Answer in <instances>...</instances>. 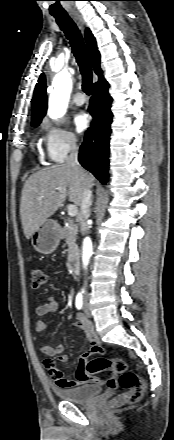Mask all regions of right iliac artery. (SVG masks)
I'll use <instances>...</instances> for the list:
<instances>
[{
  "mask_svg": "<svg viewBox=\"0 0 174 440\" xmlns=\"http://www.w3.org/2000/svg\"><path fill=\"white\" fill-rule=\"evenodd\" d=\"M75 304H76L77 309H81V308H82V305H83V297H82V294H81V293H78V294H77Z\"/></svg>",
  "mask_w": 174,
  "mask_h": 440,
  "instance_id": "1",
  "label": "right iliac artery"
}]
</instances>
